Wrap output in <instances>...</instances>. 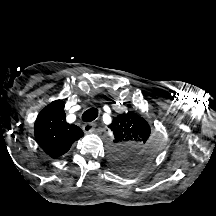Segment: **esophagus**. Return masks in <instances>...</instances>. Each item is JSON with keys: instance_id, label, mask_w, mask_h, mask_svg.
<instances>
[{"instance_id": "obj_1", "label": "esophagus", "mask_w": 216, "mask_h": 216, "mask_svg": "<svg viewBox=\"0 0 216 216\" xmlns=\"http://www.w3.org/2000/svg\"><path fill=\"white\" fill-rule=\"evenodd\" d=\"M96 123H86L83 125V131L85 133H92L95 130Z\"/></svg>"}]
</instances>
